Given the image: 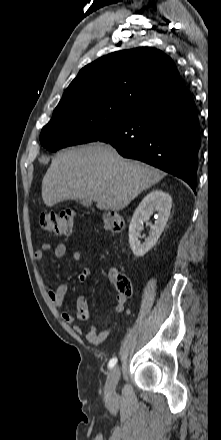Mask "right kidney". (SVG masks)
Here are the masks:
<instances>
[{"label":"right kidney","mask_w":221,"mask_h":440,"mask_svg":"<svg viewBox=\"0 0 221 440\" xmlns=\"http://www.w3.org/2000/svg\"><path fill=\"white\" fill-rule=\"evenodd\" d=\"M171 206V196L160 189L151 191L143 198L129 226V243L135 256L142 257L156 244L168 221ZM154 210L157 211L155 224L151 227L149 237L141 243L139 238L143 222L149 220Z\"/></svg>","instance_id":"right-kidney-1"}]
</instances>
